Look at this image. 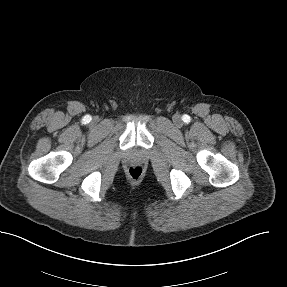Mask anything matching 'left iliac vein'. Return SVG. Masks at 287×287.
Returning <instances> with one entry per match:
<instances>
[{
    "instance_id": "left-iliac-vein-1",
    "label": "left iliac vein",
    "mask_w": 287,
    "mask_h": 287,
    "mask_svg": "<svg viewBox=\"0 0 287 287\" xmlns=\"http://www.w3.org/2000/svg\"><path fill=\"white\" fill-rule=\"evenodd\" d=\"M173 122L175 123L176 126H181L182 125V119L180 115L176 114L173 117Z\"/></svg>"
}]
</instances>
